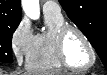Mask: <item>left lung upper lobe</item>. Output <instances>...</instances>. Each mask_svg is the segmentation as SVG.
Instances as JSON below:
<instances>
[{"instance_id": "5c2ea615", "label": "left lung upper lobe", "mask_w": 107, "mask_h": 75, "mask_svg": "<svg viewBox=\"0 0 107 75\" xmlns=\"http://www.w3.org/2000/svg\"><path fill=\"white\" fill-rule=\"evenodd\" d=\"M107 68V0H59Z\"/></svg>"}]
</instances>
